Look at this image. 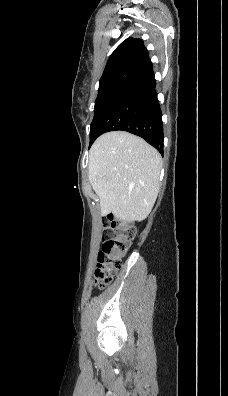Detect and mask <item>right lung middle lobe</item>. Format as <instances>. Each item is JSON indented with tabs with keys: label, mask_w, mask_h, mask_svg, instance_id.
Wrapping results in <instances>:
<instances>
[{
	"label": "right lung middle lobe",
	"mask_w": 228,
	"mask_h": 396,
	"mask_svg": "<svg viewBox=\"0 0 228 396\" xmlns=\"http://www.w3.org/2000/svg\"><path fill=\"white\" fill-rule=\"evenodd\" d=\"M126 86L127 85L124 84H110L99 87V92L94 107V118L90 127V139L96 133L95 126L100 116Z\"/></svg>",
	"instance_id": "right-lung-middle-lobe-1"
}]
</instances>
